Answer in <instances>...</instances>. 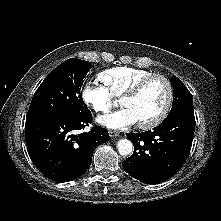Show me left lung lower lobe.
Returning a JSON list of instances; mask_svg holds the SVG:
<instances>
[{
  "label": "left lung lower lobe",
  "mask_w": 221,
  "mask_h": 221,
  "mask_svg": "<svg viewBox=\"0 0 221 221\" xmlns=\"http://www.w3.org/2000/svg\"><path fill=\"white\" fill-rule=\"evenodd\" d=\"M195 124L194 116H173L164 119L152 131L127 133L134 152L123 161V169L144 183L166 180L186 161Z\"/></svg>",
  "instance_id": "left-lung-lower-lobe-1"
}]
</instances>
